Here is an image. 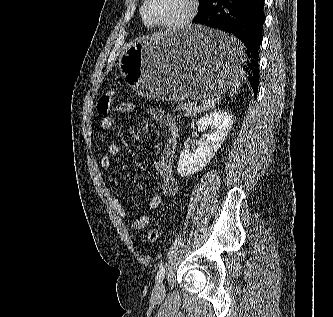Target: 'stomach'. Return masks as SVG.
Here are the masks:
<instances>
[{
  "instance_id": "0dacf381",
  "label": "stomach",
  "mask_w": 333,
  "mask_h": 317,
  "mask_svg": "<svg viewBox=\"0 0 333 317\" xmlns=\"http://www.w3.org/2000/svg\"><path fill=\"white\" fill-rule=\"evenodd\" d=\"M246 45L228 29L189 26L142 38L119 57L127 84L141 97L201 100L235 88Z\"/></svg>"
}]
</instances>
